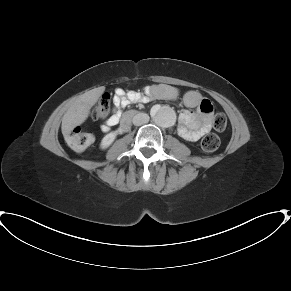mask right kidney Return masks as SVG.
<instances>
[{
	"label": "right kidney",
	"instance_id": "right-kidney-1",
	"mask_svg": "<svg viewBox=\"0 0 291 291\" xmlns=\"http://www.w3.org/2000/svg\"><path fill=\"white\" fill-rule=\"evenodd\" d=\"M116 138V133L115 132H111L109 134H107L101 141L100 143V147L101 149H106L108 148L112 143L113 141L115 140Z\"/></svg>",
	"mask_w": 291,
	"mask_h": 291
}]
</instances>
